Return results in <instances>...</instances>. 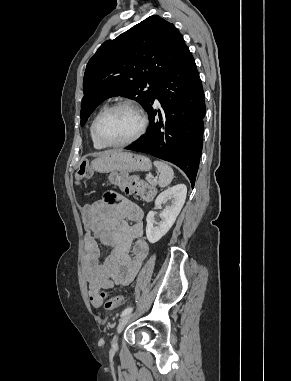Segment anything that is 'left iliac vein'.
Here are the masks:
<instances>
[{
	"label": "left iliac vein",
	"mask_w": 291,
	"mask_h": 381,
	"mask_svg": "<svg viewBox=\"0 0 291 381\" xmlns=\"http://www.w3.org/2000/svg\"><path fill=\"white\" fill-rule=\"evenodd\" d=\"M132 316H133L132 313H128V314L124 315V316L120 319V321H119V323H118V326H117V333H120V332L124 329V327L126 326V324L131 320ZM112 346H113V347H116V346H117V340H116V338H114L113 343H112Z\"/></svg>",
	"instance_id": "4c4485c4"
}]
</instances>
